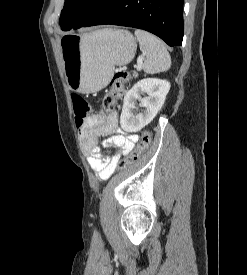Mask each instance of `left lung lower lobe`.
Listing matches in <instances>:
<instances>
[{
    "mask_svg": "<svg viewBox=\"0 0 247 275\" xmlns=\"http://www.w3.org/2000/svg\"><path fill=\"white\" fill-rule=\"evenodd\" d=\"M183 3L184 0H105L81 27L102 24L134 27L157 35L171 47L181 46Z\"/></svg>",
    "mask_w": 247,
    "mask_h": 275,
    "instance_id": "left-lung-lower-lobe-1",
    "label": "left lung lower lobe"
}]
</instances>
